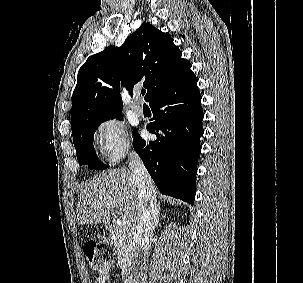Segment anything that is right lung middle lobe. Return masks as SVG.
Wrapping results in <instances>:
<instances>
[{"label": "right lung middle lobe", "instance_id": "1", "mask_svg": "<svg viewBox=\"0 0 303 283\" xmlns=\"http://www.w3.org/2000/svg\"><path fill=\"white\" fill-rule=\"evenodd\" d=\"M118 119H122V116ZM104 121L106 120L87 122L72 133L78 162L80 165H88L89 169L99 170L109 167L98 159L93 146L94 132Z\"/></svg>", "mask_w": 303, "mask_h": 283}]
</instances>
